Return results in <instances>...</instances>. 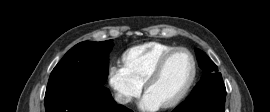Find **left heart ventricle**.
I'll list each match as a JSON object with an SVG mask.
<instances>
[{"instance_id": "1", "label": "left heart ventricle", "mask_w": 270, "mask_h": 112, "mask_svg": "<svg viewBox=\"0 0 270 112\" xmlns=\"http://www.w3.org/2000/svg\"><path fill=\"white\" fill-rule=\"evenodd\" d=\"M192 72L190 57L185 52L174 54L161 75L147 89L162 105L175 98L187 84Z\"/></svg>"}]
</instances>
